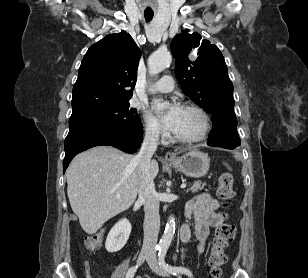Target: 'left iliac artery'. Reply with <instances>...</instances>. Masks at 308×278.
Wrapping results in <instances>:
<instances>
[{
	"label": "left iliac artery",
	"instance_id": "44dca946",
	"mask_svg": "<svg viewBox=\"0 0 308 278\" xmlns=\"http://www.w3.org/2000/svg\"><path fill=\"white\" fill-rule=\"evenodd\" d=\"M166 252H167V249L166 248H162V249L159 250V253H158L159 265L163 269H165L167 272H169V273H171V274H173L175 276H178L180 273L186 274L188 276H192V273L187 268L175 267V266H171V265L167 264L165 262Z\"/></svg>",
	"mask_w": 308,
	"mask_h": 278
}]
</instances>
